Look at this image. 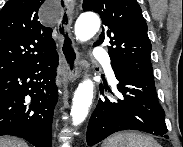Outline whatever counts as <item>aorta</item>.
<instances>
[{
    "instance_id": "obj_1",
    "label": "aorta",
    "mask_w": 183,
    "mask_h": 147,
    "mask_svg": "<svg viewBox=\"0 0 183 147\" xmlns=\"http://www.w3.org/2000/svg\"><path fill=\"white\" fill-rule=\"evenodd\" d=\"M100 28V19L94 13L80 15L75 24L76 39L87 41ZM94 84L90 79L83 80L77 87L72 100L71 117L74 126L80 125L87 117L92 104Z\"/></svg>"
}]
</instances>
